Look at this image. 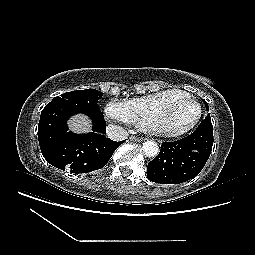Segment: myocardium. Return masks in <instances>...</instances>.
Instances as JSON below:
<instances>
[{
  "instance_id": "f54148a6",
  "label": "myocardium",
  "mask_w": 255,
  "mask_h": 255,
  "mask_svg": "<svg viewBox=\"0 0 255 255\" xmlns=\"http://www.w3.org/2000/svg\"><path fill=\"white\" fill-rule=\"evenodd\" d=\"M178 101H184L194 105L196 107V114L194 118L185 126L178 129H168L162 125V116L173 104ZM201 115L202 107L200 103L195 100L189 93L184 92L180 96L169 100L159 109H157L147 120L144 129L146 132L160 137H179L193 129L200 120Z\"/></svg>"
}]
</instances>
